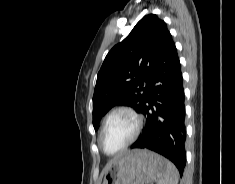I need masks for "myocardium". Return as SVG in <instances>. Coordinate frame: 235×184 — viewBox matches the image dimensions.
<instances>
[{
	"instance_id": "1",
	"label": "myocardium",
	"mask_w": 235,
	"mask_h": 184,
	"mask_svg": "<svg viewBox=\"0 0 235 184\" xmlns=\"http://www.w3.org/2000/svg\"><path fill=\"white\" fill-rule=\"evenodd\" d=\"M120 112H126L128 114H130L134 120H135V130L133 135L131 136V138L125 143V145L118 150L115 153H108L104 150L102 143H101V139H102V134L104 132V130L106 129V127L108 126L109 122L111 121L112 117ZM142 127H143V117L141 116V114L132 106L129 105H119L114 107L112 110H110L108 112V114L105 116L103 123L101 125L99 134H98V146L100 148V150L103 152V154L113 157V156H118L121 153H123L126 149H128L139 137L141 131H142Z\"/></svg>"
}]
</instances>
